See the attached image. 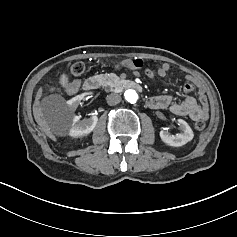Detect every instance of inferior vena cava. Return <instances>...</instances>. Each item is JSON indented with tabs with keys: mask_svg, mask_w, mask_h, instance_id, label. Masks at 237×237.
I'll list each match as a JSON object with an SVG mask.
<instances>
[{
	"mask_svg": "<svg viewBox=\"0 0 237 237\" xmlns=\"http://www.w3.org/2000/svg\"><path fill=\"white\" fill-rule=\"evenodd\" d=\"M107 103L110 106L116 105L120 103L121 101V96L115 93H112L106 97Z\"/></svg>",
	"mask_w": 237,
	"mask_h": 237,
	"instance_id": "602c4592",
	"label": "inferior vena cava"
}]
</instances>
